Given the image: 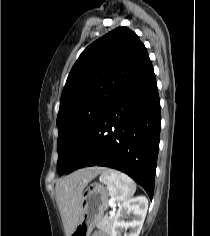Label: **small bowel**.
<instances>
[{"instance_id":"c3829d8e","label":"small bowel","mask_w":210,"mask_h":236,"mask_svg":"<svg viewBox=\"0 0 210 236\" xmlns=\"http://www.w3.org/2000/svg\"><path fill=\"white\" fill-rule=\"evenodd\" d=\"M93 236H106L104 233H101V232H97L95 233Z\"/></svg>"}]
</instances>
